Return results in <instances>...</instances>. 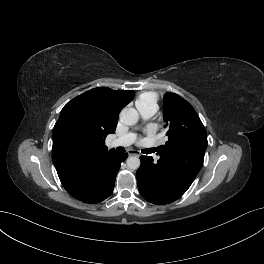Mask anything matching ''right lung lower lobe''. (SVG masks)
Listing matches in <instances>:
<instances>
[{"instance_id":"right-lung-lower-lobe-1","label":"right lung lower lobe","mask_w":264,"mask_h":264,"mask_svg":"<svg viewBox=\"0 0 264 264\" xmlns=\"http://www.w3.org/2000/svg\"><path fill=\"white\" fill-rule=\"evenodd\" d=\"M127 156V153L120 154L115 150L104 155L87 170L81 187L78 190L68 192L76 199L91 204L99 203L108 198L113 192L120 165Z\"/></svg>"}]
</instances>
